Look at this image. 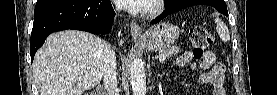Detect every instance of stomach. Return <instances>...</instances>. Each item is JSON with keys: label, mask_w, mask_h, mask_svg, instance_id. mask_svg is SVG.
Returning <instances> with one entry per match:
<instances>
[{"label": "stomach", "mask_w": 277, "mask_h": 95, "mask_svg": "<svg viewBox=\"0 0 277 95\" xmlns=\"http://www.w3.org/2000/svg\"><path fill=\"white\" fill-rule=\"evenodd\" d=\"M180 35L178 27L170 23H160L150 28L140 40L149 51H161L171 46Z\"/></svg>", "instance_id": "obj_1"}]
</instances>
